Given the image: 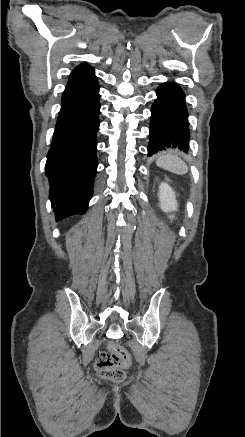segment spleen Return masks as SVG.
Segmentation results:
<instances>
[{
  "label": "spleen",
  "mask_w": 245,
  "mask_h": 437,
  "mask_svg": "<svg viewBox=\"0 0 245 437\" xmlns=\"http://www.w3.org/2000/svg\"><path fill=\"white\" fill-rule=\"evenodd\" d=\"M156 164L170 172L183 175L188 172L187 164L175 153H161L158 155Z\"/></svg>",
  "instance_id": "3e777b00"
}]
</instances>
